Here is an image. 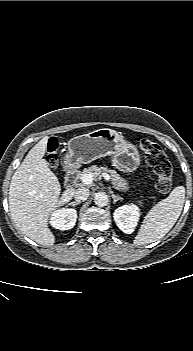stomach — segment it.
<instances>
[{"label":"stomach","mask_w":193,"mask_h":351,"mask_svg":"<svg viewBox=\"0 0 193 351\" xmlns=\"http://www.w3.org/2000/svg\"><path fill=\"white\" fill-rule=\"evenodd\" d=\"M104 156H111L112 165L125 173L135 171L141 163L134 144L126 141L119 132L103 128L72 138L68 142L65 165L74 168Z\"/></svg>","instance_id":"obj_1"}]
</instances>
